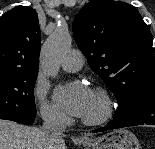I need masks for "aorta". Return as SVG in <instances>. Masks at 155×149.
I'll return each instance as SVG.
<instances>
[{"mask_svg": "<svg viewBox=\"0 0 155 149\" xmlns=\"http://www.w3.org/2000/svg\"><path fill=\"white\" fill-rule=\"evenodd\" d=\"M72 37L66 25L58 26L49 39L45 42L41 60L48 76L56 77L62 57L69 51Z\"/></svg>", "mask_w": 155, "mask_h": 149, "instance_id": "1", "label": "aorta"}]
</instances>
